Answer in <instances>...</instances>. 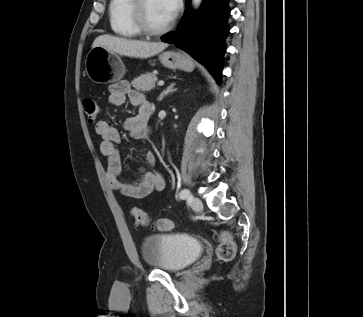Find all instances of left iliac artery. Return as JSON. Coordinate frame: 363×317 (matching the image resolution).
<instances>
[{
	"mask_svg": "<svg viewBox=\"0 0 363 317\" xmlns=\"http://www.w3.org/2000/svg\"><path fill=\"white\" fill-rule=\"evenodd\" d=\"M189 196H191L190 191L188 189H183L180 193H179V198L180 199H186Z\"/></svg>",
	"mask_w": 363,
	"mask_h": 317,
	"instance_id": "obj_1",
	"label": "left iliac artery"
}]
</instances>
